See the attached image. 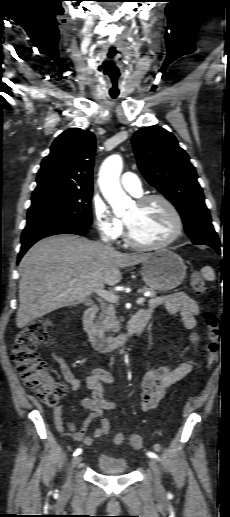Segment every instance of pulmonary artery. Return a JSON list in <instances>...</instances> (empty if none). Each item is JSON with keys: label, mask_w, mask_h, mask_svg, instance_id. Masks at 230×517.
Masks as SVG:
<instances>
[{"label": "pulmonary artery", "mask_w": 230, "mask_h": 517, "mask_svg": "<svg viewBox=\"0 0 230 517\" xmlns=\"http://www.w3.org/2000/svg\"><path fill=\"white\" fill-rule=\"evenodd\" d=\"M123 188L135 197L142 194V186L139 178L131 172H126L121 177Z\"/></svg>", "instance_id": "e3ab8cb5"}]
</instances>
